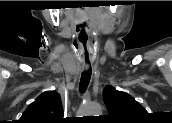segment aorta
<instances>
[{
	"instance_id": "1",
	"label": "aorta",
	"mask_w": 172,
	"mask_h": 123,
	"mask_svg": "<svg viewBox=\"0 0 172 123\" xmlns=\"http://www.w3.org/2000/svg\"><path fill=\"white\" fill-rule=\"evenodd\" d=\"M83 112L87 116H99L102 113L100 105L92 102H86L83 105Z\"/></svg>"
}]
</instances>
